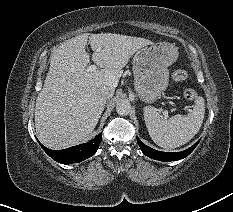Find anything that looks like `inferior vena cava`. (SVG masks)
I'll return each instance as SVG.
<instances>
[{"mask_svg":"<svg viewBox=\"0 0 233 212\" xmlns=\"http://www.w3.org/2000/svg\"><path fill=\"white\" fill-rule=\"evenodd\" d=\"M100 95L104 98V99H109L113 96L114 91L106 86H103L100 90H99Z\"/></svg>","mask_w":233,"mask_h":212,"instance_id":"inferior-vena-cava-1","label":"inferior vena cava"}]
</instances>
